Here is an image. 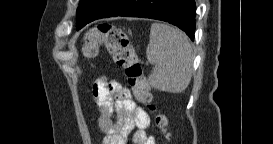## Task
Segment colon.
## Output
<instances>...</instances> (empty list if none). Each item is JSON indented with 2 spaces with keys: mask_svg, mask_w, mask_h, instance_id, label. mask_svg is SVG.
Here are the masks:
<instances>
[{
  "mask_svg": "<svg viewBox=\"0 0 273 144\" xmlns=\"http://www.w3.org/2000/svg\"><path fill=\"white\" fill-rule=\"evenodd\" d=\"M102 43L107 46L116 65L124 70L128 85L133 90L137 101L147 106L149 110L155 111L150 85L127 34L117 25L101 22L86 33L84 55L89 59L94 58ZM155 125L161 134L166 135L167 119L163 114H156Z\"/></svg>",
  "mask_w": 273,
  "mask_h": 144,
  "instance_id": "obj_1",
  "label": "colon"
}]
</instances>
